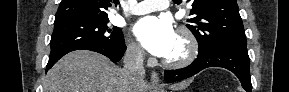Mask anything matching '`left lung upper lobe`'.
<instances>
[{
  "instance_id": "5c2ea615",
  "label": "left lung upper lobe",
  "mask_w": 289,
  "mask_h": 92,
  "mask_svg": "<svg viewBox=\"0 0 289 92\" xmlns=\"http://www.w3.org/2000/svg\"><path fill=\"white\" fill-rule=\"evenodd\" d=\"M192 7L194 17L187 19L186 26L198 41L199 54L224 43H246L236 0H194Z\"/></svg>"
}]
</instances>
